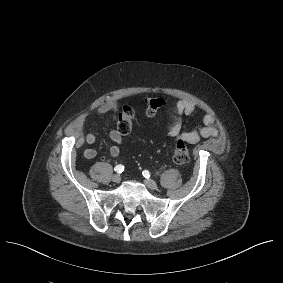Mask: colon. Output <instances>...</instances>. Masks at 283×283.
Listing matches in <instances>:
<instances>
[{
  "mask_svg": "<svg viewBox=\"0 0 283 283\" xmlns=\"http://www.w3.org/2000/svg\"><path fill=\"white\" fill-rule=\"evenodd\" d=\"M146 114L153 117L164 106V100L158 97L146 99ZM135 113L130 106H125L118 116L117 130L121 135L131 132ZM190 152L184 141H178L173 151V161L176 165L188 162Z\"/></svg>",
  "mask_w": 283,
  "mask_h": 283,
  "instance_id": "1",
  "label": "colon"
}]
</instances>
